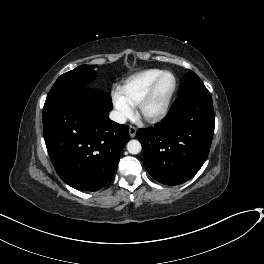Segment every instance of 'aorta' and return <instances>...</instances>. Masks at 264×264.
Listing matches in <instances>:
<instances>
[{"label": "aorta", "mask_w": 264, "mask_h": 264, "mask_svg": "<svg viewBox=\"0 0 264 264\" xmlns=\"http://www.w3.org/2000/svg\"><path fill=\"white\" fill-rule=\"evenodd\" d=\"M142 146L138 140H130L127 143V150L130 154H138L140 153Z\"/></svg>", "instance_id": "762f6f07"}]
</instances>
